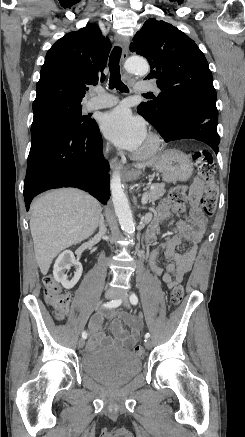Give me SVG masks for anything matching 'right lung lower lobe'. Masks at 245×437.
I'll use <instances>...</instances> for the list:
<instances>
[{"instance_id": "obj_1", "label": "right lung lower lobe", "mask_w": 245, "mask_h": 437, "mask_svg": "<svg viewBox=\"0 0 245 437\" xmlns=\"http://www.w3.org/2000/svg\"><path fill=\"white\" fill-rule=\"evenodd\" d=\"M108 171L96 122L77 131L57 125L46 127L31 141L24 181L26 209L36 195L61 187L85 190L106 204L110 198Z\"/></svg>"}]
</instances>
